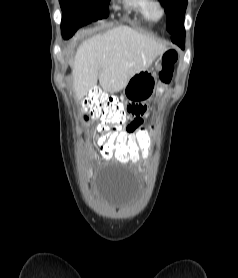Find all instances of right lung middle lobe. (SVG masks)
Listing matches in <instances>:
<instances>
[{
	"label": "right lung middle lobe",
	"mask_w": 238,
	"mask_h": 278,
	"mask_svg": "<svg viewBox=\"0 0 238 278\" xmlns=\"http://www.w3.org/2000/svg\"><path fill=\"white\" fill-rule=\"evenodd\" d=\"M62 11L73 9L81 14L80 27L109 15L110 0H59Z\"/></svg>",
	"instance_id": "dd1d6c3e"
}]
</instances>
